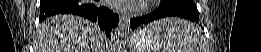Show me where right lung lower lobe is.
Segmentation results:
<instances>
[{"label": "right lung lower lobe", "mask_w": 261, "mask_h": 52, "mask_svg": "<svg viewBox=\"0 0 261 52\" xmlns=\"http://www.w3.org/2000/svg\"><path fill=\"white\" fill-rule=\"evenodd\" d=\"M55 14L83 16L99 24L108 37L118 24V15L107 7L99 6L97 0H41L39 21Z\"/></svg>", "instance_id": "obj_1"}]
</instances>
